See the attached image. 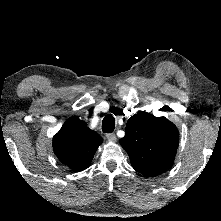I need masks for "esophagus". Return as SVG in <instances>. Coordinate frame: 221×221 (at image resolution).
Returning <instances> with one entry per match:
<instances>
[{
  "label": "esophagus",
  "instance_id": "esophagus-1",
  "mask_svg": "<svg viewBox=\"0 0 221 221\" xmlns=\"http://www.w3.org/2000/svg\"><path fill=\"white\" fill-rule=\"evenodd\" d=\"M106 138L111 141V142H115L116 141V135L114 133H108L106 134Z\"/></svg>",
  "mask_w": 221,
  "mask_h": 221
}]
</instances>
